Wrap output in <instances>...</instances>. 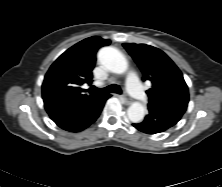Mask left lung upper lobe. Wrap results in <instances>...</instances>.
<instances>
[{
	"mask_svg": "<svg viewBox=\"0 0 222 187\" xmlns=\"http://www.w3.org/2000/svg\"><path fill=\"white\" fill-rule=\"evenodd\" d=\"M139 66L143 81H149L146 91L149 104L160 102L188 103V86L175 63L160 49L146 44L123 43Z\"/></svg>",
	"mask_w": 222,
	"mask_h": 187,
	"instance_id": "5c2ea615",
	"label": "left lung upper lobe"
}]
</instances>
